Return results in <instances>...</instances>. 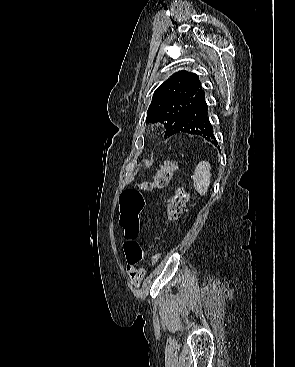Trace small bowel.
I'll return each mask as SVG.
<instances>
[{
  "label": "small bowel",
  "instance_id": "1",
  "mask_svg": "<svg viewBox=\"0 0 295 367\" xmlns=\"http://www.w3.org/2000/svg\"><path fill=\"white\" fill-rule=\"evenodd\" d=\"M126 272L131 280L132 285L138 288L144 278L145 270L143 268L137 267L136 264H132L127 261Z\"/></svg>",
  "mask_w": 295,
  "mask_h": 367
}]
</instances>
